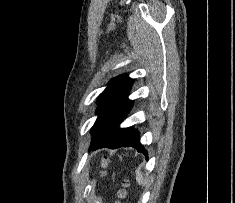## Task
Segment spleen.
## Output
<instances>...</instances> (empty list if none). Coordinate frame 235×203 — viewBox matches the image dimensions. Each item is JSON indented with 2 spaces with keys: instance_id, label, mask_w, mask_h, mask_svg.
Wrapping results in <instances>:
<instances>
[{
  "instance_id": "1",
  "label": "spleen",
  "mask_w": 235,
  "mask_h": 203,
  "mask_svg": "<svg viewBox=\"0 0 235 203\" xmlns=\"http://www.w3.org/2000/svg\"><path fill=\"white\" fill-rule=\"evenodd\" d=\"M135 173H136V181H137V183H138L139 185H144L146 180H145V178H144L142 172L140 171V169L137 168L136 171H135Z\"/></svg>"
}]
</instances>
